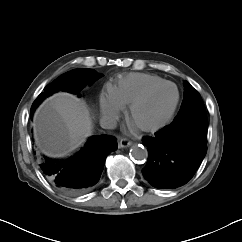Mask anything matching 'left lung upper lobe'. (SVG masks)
<instances>
[{
  "mask_svg": "<svg viewBox=\"0 0 242 242\" xmlns=\"http://www.w3.org/2000/svg\"><path fill=\"white\" fill-rule=\"evenodd\" d=\"M195 125H208L206 110L200 94L184 81V97L180 111L175 120L164 129L179 132Z\"/></svg>",
  "mask_w": 242,
  "mask_h": 242,
  "instance_id": "obj_1",
  "label": "left lung upper lobe"
}]
</instances>
